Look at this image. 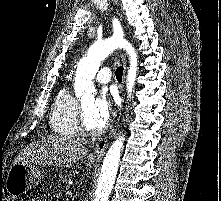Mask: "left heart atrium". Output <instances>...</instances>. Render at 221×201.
<instances>
[{
    "instance_id": "1",
    "label": "left heart atrium",
    "mask_w": 221,
    "mask_h": 201,
    "mask_svg": "<svg viewBox=\"0 0 221 201\" xmlns=\"http://www.w3.org/2000/svg\"><path fill=\"white\" fill-rule=\"evenodd\" d=\"M113 110L112 99L103 93L93 104V114L101 123L105 124Z\"/></svg>"
}]
</instances>
